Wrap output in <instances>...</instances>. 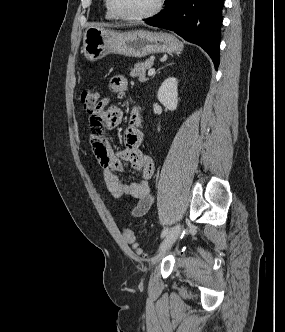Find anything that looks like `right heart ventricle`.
Returning a JSON list of instances; mask_svg holds the SVG:
<instances>
[{"mask_svg": "<svg viewBox=\"0 0 285 332\" xmlns=\"http://www.w3.org/2000/svg\"><path fill=\"white\" fill-rule=\"evenodd\" d=\"M104 7H105V17L108 19V20H114L116 19L113 14L110 12L108 6H107V2L106 0H104Z\"/></svg>", "mask_w": 285, "mask_h": 332, "instance_id": "right-heart-ventricle-1", "label": "right heart ventricle"}]
</instances>
